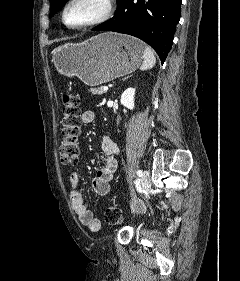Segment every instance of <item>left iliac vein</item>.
<instances>
[{
  "mask_svg": "<svg viewBox=\"0 0 240 281\" xmlns=\"http://www.w3.org/2000/svg\"><path fill=\"white\" fill-rule=\"evenodd\" d=\"M141 183L143 189H147L150 186V177L147 170H144L142 173Z\"/></svg>",
  "mask_w": 240,
  "mask_h": 281,
  "instance_id": "obj_1",
  "label": "left iliac vein"
}]
</instances>
